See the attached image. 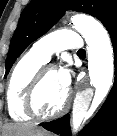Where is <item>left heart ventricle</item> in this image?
Masks as SVG:
<instances>
[{
  "mask_svg": "<svg viewBox=\"0 0 117 136\" xmlns=\"http://www.w3.org/2000/svg\"><path fill=\"white\" fill-rule=\"evenodd\" d=\"M67 92L60 84L57 71L47 73L37 93V108L42 114H50L63 104Z\"/></svg>",
  "mask_w": 117,
  "mask_h": 136,
  "instance_id": "obj_1",
  "label": "left heart ventricle"
}]
</instances>
